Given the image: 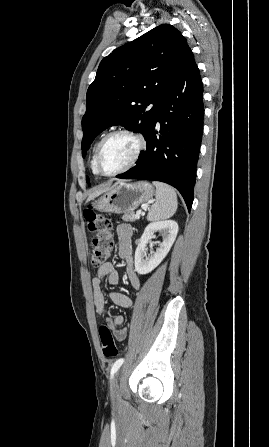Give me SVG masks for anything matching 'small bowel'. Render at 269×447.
<instances>
[{
	"label": "small bowel",
	"mask_w": 269,
	"mask_h": 447,
	"mask_svg": "<svg viewBox=\"0 0 269 447\" xmlns=\"http://www.w3.org/2000/svg\"><path fill=\"white\" fill-rule=\"evenodd\" d=\"M131 236L132 229L129 225L121 224L118 226L116 230V249L119 257L125 263L131 286L134 289H140L142 286L141 280L133 269ZM104 279L111 285H117L119 283L120 277L113 263H106L100 266L92 279L93 300L98 314H103L105 309L106 293L101 286ZM107 296L116 306L123 308H131L133 306V301L123 293L110 291L107 293ZM123 322V315H115L110 319L109 327L115 328L116 326H120ZM114 335L116 340L123 341L127 336V331L124 328H118Z\"/></svg>",
	"instance_id": "1"
}]
</instances>
